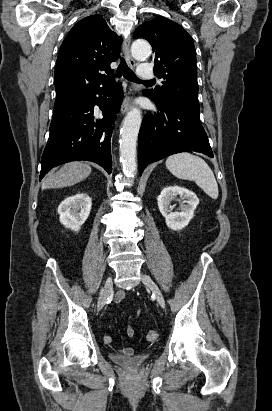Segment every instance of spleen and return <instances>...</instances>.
Masks as SVG:
<instances>
[{
	"mask_svg": "<svg viewBox=\"0 0 272 411\" xmlns=\"http://www.w3.org/2000/svg\"><path fill=\"white\" fill-rule=\"evenodd\" d=\"M167 169L177 178L194 181L209 197L218 198V184L208 164L190 153L169 156L165 162Z\"/></svg>",
	"mask_w": 272,
	"mask_h": 411,
	"instance_id": "3e777b00",
	"label": "spleen"
}]
</instances>
